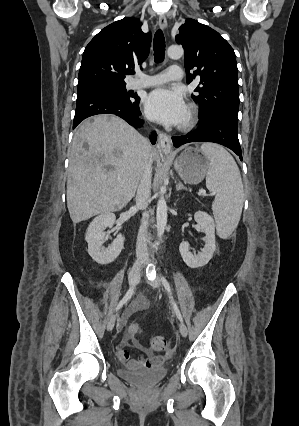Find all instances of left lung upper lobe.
I'll return each instance as SVG.
<instances>
[{"mask_svg":"<svg viewBox=\"0 0 299 426\" xmlns=\"http://www.w3.org/2000/svg\"><path fill=\"white\" fill-rule=\"evenodd\" d=\"M179 31L176 42L185 50L186 81L190 83L200 77L202 85L194 90L198 95H192L202 108L199 117L220 113L238 121L239 91L234 50L218 32L194 19H187Z\"/></svg>","mask_w":299,"mask_h":426,"instance_id":"left-lung-upper-lobe-1","label":"left lung upper lobe"}]
</instances>
